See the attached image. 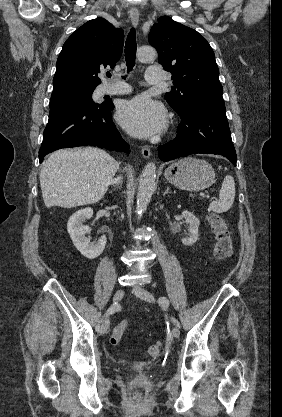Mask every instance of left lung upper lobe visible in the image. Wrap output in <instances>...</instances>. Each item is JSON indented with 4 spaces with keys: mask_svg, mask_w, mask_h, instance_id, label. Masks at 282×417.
Here are the masks:
<instances>
[{
    "mask_svg": "<svg viewBox=\"0 0 282 417\" xmlns=\"http://www.w3.org/2000/svg\"><path fill=\"white\" fill-rule=\"evenodd\" d=\"M149 42L164 70L173 74L174 91L165 98L175 111L201 94L222 96L215 54L197 31L162 16L151 28Z\"/></svg>",
    "mask_w": 282,
    "mask_h": 417,
    "instance_id": "left-lung-upper-lobe-1",
    "label": "left lung upper lobe"
}]
</instances>
